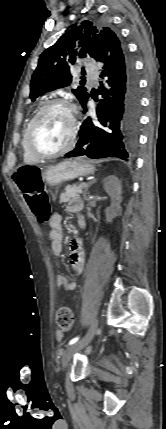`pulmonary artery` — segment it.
Returning <instances> with one entry per match:
<instances>
[{
	"mask_svg": "<svg viewBox=\"0 0 166 429\" xmlns=\"http://www.w3.org/2000/svg\"><path fill=\"white\" fill-rule=\"evenodd\" d=\"M86 74L90 77H96V71L93 67H87L86 68Z\"/></svg>",
	"mask_w": 166,
	"mask_h": 429,
	"instance_id": "1",
	"label": "pulmonary artery"
}]
</instances>
